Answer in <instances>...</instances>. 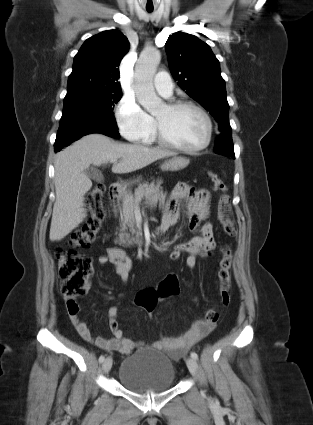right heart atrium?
<instances>
[{
  "label": "right heart atrium",
  "mask_w": 313,
  "mask_h": 425,
  "mask_svg": "<svg viewBox=\"0 0 313 425\" xmlns=\"http://www.w3.org/2000/svg\"><path fill=\"white\" fill-rule=\"evenodd\" d=\"M120 133L129 141L144 142L153 133L154 120L130 96L121 98L115 111Z\"/></svg>",
  "instance_id": "d8ad5b80"
}]
</instances>
